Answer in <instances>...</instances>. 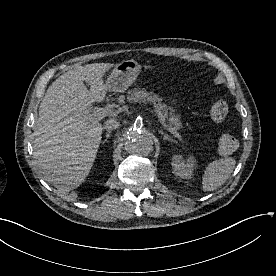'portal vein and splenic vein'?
I'll list each match as a JSON object with an SVG mask.
<instances>
[{"label":"portal vein and splenic vein","instance_id":"18ae733b","mask_svg":"<svg viewBox=\"0 0 276 276\" xmlns=\"http://www.w3.org/2000/svg\"><path fill=\"white\" fill-rule=\"evenodd\" d=\"M110 112H111L110 107H106V108L95 107L93 109V113L89 114V119L92 121L98 122V121L102 120L104 117L108 116ZM158 117H159L161 123L164 125V127L169 132H171L178 139H181V135L177 132V130L175 128L170 127L169 125H167L165 123V119L161 113L158 114Z\"/></svg>","mask_w":276,"mask_h":276}]
</instances>
